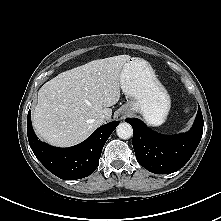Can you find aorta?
<instances>
[{"label": "aorta", "instance_id": "obj_1", "mask_svg": "<svg viewBox=\"0 0 221 221\" xmlns=\"http://www.w3.org/2000/svg\"><path fill=\"white\" fill-rule=\"evenodd\" d=\"M116 133L121 139H129L133 135V129L130 124L122 122L117 126Z\"/></svg>", "mask_w": 221, "mask_h": 221}]
</instances>
